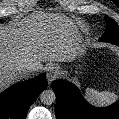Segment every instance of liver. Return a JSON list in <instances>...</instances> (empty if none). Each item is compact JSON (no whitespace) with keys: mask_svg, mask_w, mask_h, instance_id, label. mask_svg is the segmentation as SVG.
<instances>
[{"mask_svg":"<svg viewBox=\"0 0 119 119\" xmlns=\"http://www.w3.org/2000/svg\"><path fill=\"white\" fill-rule=\"evenodd\" d=\"M53 30L49 32L48 29ZM67 19H29L19 27L0 24V92L23 79L21 69L33 66L42 70V63L68 62L76 57L78 40Z\"/></svg>","mask_w":119,"mask_h":119,"instance_id":"1","label":"liver"}]
</instances>
